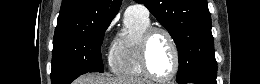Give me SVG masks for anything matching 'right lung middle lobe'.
<instances>
[{
	"label": "right lung middle lobe",
	"instance_id": "1",
	"mask_svg": "<svg viewBox=\"0 0 260 84\" xmlns=\"http://www.w3.org/2000/svg\"><path fill=\"white\" fill-rule=\"evenodd\" d=\"M111 20L97 21L82 29L54 37L52 84H70L87 72H104L100 48Z\"/></svg>",
	"mask_w": 260,
	"mask_h": 84
}]
</instances>
